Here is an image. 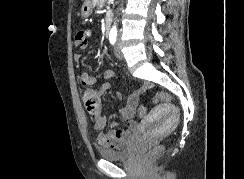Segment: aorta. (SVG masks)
<instances>
[{"instance_id":"obj_1","label":"aorta","mask_w":244,"mask_h":179,"mask_svg":"<svg viewBox=\"0 0 244 179\" xmlns=\"http://www.w3.org/2000/svg\"><path fill=\"white\" fill-rule=\"evenodd\" d=\"M115 30H116V26H113L111 32H115Z\"/></svg>"}]
</instances>
